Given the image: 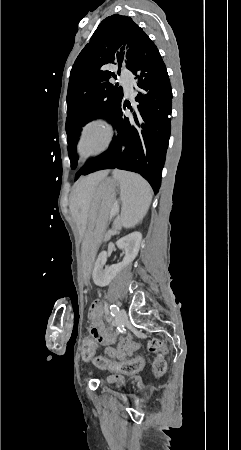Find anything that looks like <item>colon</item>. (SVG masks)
<instances>
[{
	"instance_id": "obj_1",
	"label": "colon",
	"mask_w": 241,
	"mask_h": 450,
	"mask_svg": "<svg viewBox=\"0 0 241 450\" xmlns=\"http://www.w3.org/2000/svg\"><path fill=\"white\" fill-rule=\"evenodd\" d=\"M148 351L152 354H157L159 351L160 354L164 357L166 354L170 352V348L161 340L152 338L148 343ZM94 350V340L91 336H85L83 338L82 343V353L81 356L83 359H87L88 352H93ZM162 356H158L156 360L154 361L151 369V373L153 376L158 377L162 375L166 370V362L163 359ZM92 362H97V367H110L111 363L106 362V357H101L100 354H97L96 356H92L91 359ZM115 365V364H114ZM143 367V360L140 358H134L128 363L122 365V366H114V369H117L119 371H122L125 374H134L138 371H140Z\"/></svg>"
}]
</instances>
